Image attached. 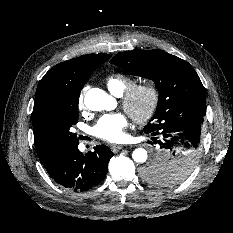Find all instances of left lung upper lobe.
Masks as SVG:
<instances>
[{
  "label": "left lung upper lobe",
  "mask_w": 233,
  "mask_h": 233,
  "mask_svg": "<svg viewBox=\"0 0 233 233\" xmlns=\"http://www.w3.org/2000/svg\"><path fill=\"white\" fill-rule=\"evenodd\" d=\"M110 63L130 75L154 80L159 92L156 113L144 129L157 130L177 119H198L206 114L205 90L194 68L185 60L159 49L116 54ZM199 158L180 156L165 164L150 162L142 177L151 183L178 184L195 169Z\"/></svg>",
  "instance_id": "left-lung-upper-lobe-1"
}]
</instances>
